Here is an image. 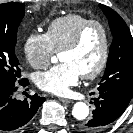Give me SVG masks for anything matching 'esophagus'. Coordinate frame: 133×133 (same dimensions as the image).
Returning <instances> with one entry per match:
<instances>
[{"label": "esophagus", "instance_id": "34e87169", "mask_svg": "<svg viewBox=\"0 0 133 133\" xmlns=\"http://www.w3.org/2000/svg\"><path fill=\"white\" fill-rule=\"evenodd\" d=\"M59 100H60L61 102H63V103H66V104H69V103L72 102V100L67 99V98H59Z\"/></svg>", "mask_w": 133, "mask_h": 133}]
</instances>
